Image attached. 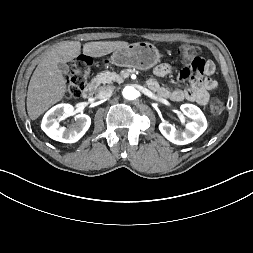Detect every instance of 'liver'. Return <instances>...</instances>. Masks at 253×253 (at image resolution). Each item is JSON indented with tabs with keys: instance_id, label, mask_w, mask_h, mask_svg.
<instances>
[{
	"instance_id": "obj_1",
	"label": "liver",
	"mask_w": 253,
	"mask_h": 253,
	"mask_svg": "<svg viewBox=\"0 0 253 253\" xmlns=\"http://www.w3.org/2000/svg\"><path fill=\"white\" fill-rule=\"evenodd\" d=\"M128 45L129 43L125 41L88 42L83 45V53L91 57H102ZM80 53L79 41H65L44 55L28 86L27 112L31 120H36L64 97L67 85L58 64L70 62Z\"/></svg>"
}]
</instances>
